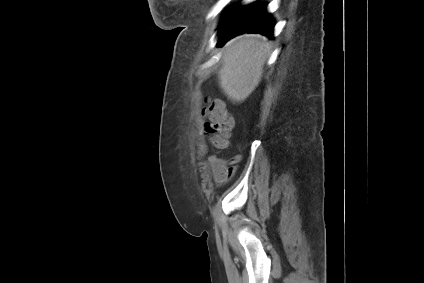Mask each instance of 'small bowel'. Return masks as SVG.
Segmentation results:
<instances>
[{
	"mask_svg": "<svg viewBox=\"0 0 424 283\" xmlns=\"http://www.w3.org/2000/svg\"><path fill=\"white\" fill-rule=\"evenodd\" d=\"M241 157L239 155L233 156L232 158H218L211 157L210 170L214 182L218 185H222L231 180L235 175L240 162Z\"/></svg>",
	"mask_w": 424,
	"mask_h": 283,
	"instance_id": "obj_1",
	"label": "small bowel"
}]
</instances>
